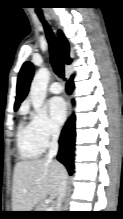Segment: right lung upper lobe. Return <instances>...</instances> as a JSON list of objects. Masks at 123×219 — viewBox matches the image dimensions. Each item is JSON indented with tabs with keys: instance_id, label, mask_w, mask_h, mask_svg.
Segmentation results:
<instances>
[{
	"instance_id": "1",
	"label": "right lung upper lobe",
	"mask_w": 123,
	"mask_h": 219,
	"mask_svg": "<svg viewBox=\"0 0 123 219\" xmlns=\"http://www.w3.org/2000/svg\"><path fill=\"white\" fill-rule=\"evenodd\" d=\"M59 46L62 53V57L65 63L69 64L71 59L69 57V44L62 33L58 31ZM34 74V68L31 62H25L19 72L17 81V96L14 104V109L19 108L20 103L25 99L28 94L30 82Z\"/></svg>"
}]
</instances>
